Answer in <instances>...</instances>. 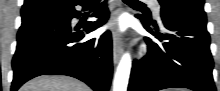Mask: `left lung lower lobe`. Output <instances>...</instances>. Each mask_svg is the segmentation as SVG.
I'll return each mask as SVG.
<instances>
[{
	"label": "left lung lower lobe",
	"instance_id": "0a47b994",
	"mask_svg": "<svg viewBox=\"0 0 220 91\" xmlns=\"http://www.w3.org/2000/svg\"><path fill=\"white\" fill-rule=\"evenodd\" d=\"M144 28L158 41L146 38L148 53L133 62L128 91H157L189 88L216 91L212 77L213 59L205 20L166 11L161 15L165 33L140 15Z\"/></svg>",
	"mask_w": 220,
	"mask_h": 91
}]
</instances>
